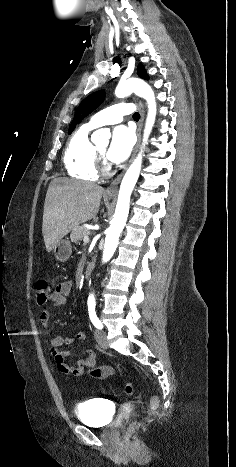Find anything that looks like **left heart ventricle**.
<instances>
[{"label":"left heart ventricle","instance_id":"1","mask_svg":"<svg viewBox=\"0 0 236 467\" xmlns=\"http://www.w3.org/2000/svg\"><path fill=\"white\" fill-rule=\"evenodd\" d=\"M107 147H108L107 145H103V146L98 147V149L101 153L105 155L107 151Z\"/></svg>","mask_w":236,"mask_h":467}]
</instances>
